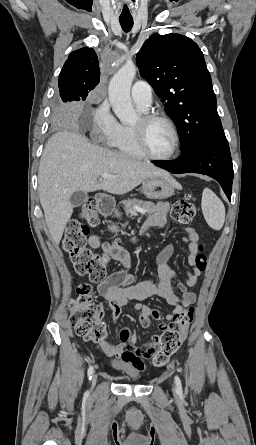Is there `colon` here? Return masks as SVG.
Listing matches in <instances>:
<instances>
[{
  "label": "colon",
  "instance_id": "obj_1",
  "mask_svg": "<svg viewBox=\"0 0 256 445\" xmlns=\"http://www.w3.org/2000/svg\"><path fill=\"white\" fill-rule=\"evenodd\" d=\"M171 215L178 224H191L196 215L192 195L186 194L177 200L172 206ZM97 225L95 201L89 199L82 205L78 218L69 222L63 239V249L69 255L75 271L80 275L88 276L92 281L105 279V268L111 259L109 255L95 254L87 247L90 229ZM195 264L198 269L204 270L206 257L198 254ZM70 311V322L77 335L94 343L106 342L108 335L106 325L102 320V306L93 300V292L88 284L78 286L76 296L70 304ZM192 318L193 309H184L174 320L178 329L169 328L161 334L159 345L151 354L154 366L165 365L180 348L185 337L184 330L188 328ZM121 338L123 341L130 340L129 331H123Z\"/></svg>",
  "mask_w": 256,
  "mask_h": 445
}]
</instances>
